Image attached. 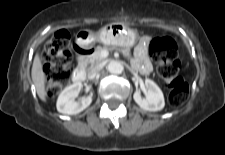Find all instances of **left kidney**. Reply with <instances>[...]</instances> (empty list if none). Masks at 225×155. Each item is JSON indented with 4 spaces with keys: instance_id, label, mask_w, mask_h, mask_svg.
Segmentation results:
<instances>
[{
    "instance_id": "5707ae66",
    "label": "left kidney",
    "mask_w": 225,
    "mask_h": 155,
    "mask_svg": "<svg viewBox=\"0 0 225 155\" xmlns=\"http://www.w3.org/2000/svg\"><path fill=\"white\" fill-rule=\"evenodd\" d=\"M145 86L147 88L145 98L141 97L140 91L134 92L133 98L135 102L144 110L147 111H160L165 106L164 96L158 85L150 80H145Z\"/></svg>"
}]
</instances>
